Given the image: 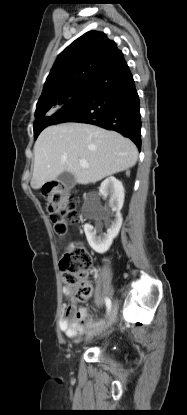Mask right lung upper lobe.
Wrapping results in <instances>:
<instances>
[{
  "instance_id": "obj_1",
  "label": "right lung upper lobe",
  "mask_w": 187,
  "mask_h": 415,
  "mask_svg": "<svg viewBox=\"0 0 187 415\" xmlns=\"http://www.w3.org/2000/svg\"><path fill=\"white\" fill-rule=\"evenodd\" d=\"M121 54L116 43L104 33H85L58 56L45 82L37 109L59 101L68 89L88 81Z\"/></svg>"
}]
</instances>
